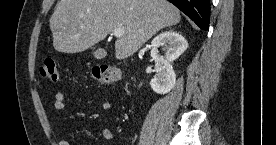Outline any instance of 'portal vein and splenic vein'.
I'll use <instances>...</instances> for the list:
<instances>
[{
  "instance_id": "portal-vein-and-splenic-vein-1",
  "label": "portal vein and splenic vein",
  "mask_w": 276,
  "mask_h": 145,
  "mask_svg": "<svg viewBox=\"0 0 276 145\" xmlns=\"http://www.w3.org/2000/svg\"><path fill=\"white\" fill-rule=\"evenodd\" d=\"M112 34L116 37H120L123 35V30L121 28H116L113 30Z\"/></svg>"
}]
</instances>
